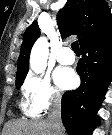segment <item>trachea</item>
Masks as SVG:
<instances>
[{
    "instance_id": "obj_1",
    "label": "trachea",
    "mask_w": 112,
    "mask_h": 135,
    "mask_svg": "<svg viewBox=\"0 0 112 135\" xmlns=\"http://www.w3.org/2000/svg\"><path fill=\"white\" fill-rule=\"evenodd\" d=\"M71 48L72 50L76 53V54H80V48H79V44L78 41H75L71 44Z\"/></svg>"
}]
</instances>
